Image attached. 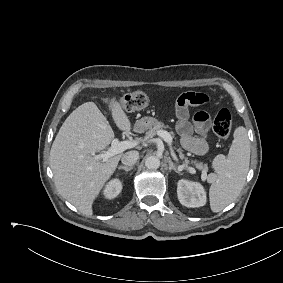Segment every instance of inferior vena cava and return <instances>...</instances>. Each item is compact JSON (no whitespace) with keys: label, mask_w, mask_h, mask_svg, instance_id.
I'll list each match as a JSON object with an SVG mask.
<instances>
[{"label":"inferior vena cava","mask_w":283,"mask_h":283,"mask_svg":"<svg viewBox=\"0 0 283 283\" xmlns=\"http://www.w3.org/2000/svg\"><path fill=\"white\" fill-rule=\"evenodd\" d=\"M138 159H139L138 151H129V152L123 154L121 161L124 165L131 167L134 164H136Z\"/></svg>","instance_id":"602c4592"}]
</instances>
